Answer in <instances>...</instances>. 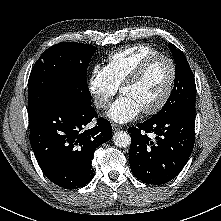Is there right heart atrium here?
Here are the masks:
<instances>
[{"instance_id":"1","label":"right heart atrium","mask_w":221,"mask_h":221,"mask_svg":"<svg viewBox=\"0 0 221 221\" xmlns=\"http://www.w3.org/2000/svg\"><path fill=\"white\" fill-rule=\"evenodd\" d=\"M88 88L98 109L107 107L110 99L118 90L107 67L100 64L92 67L88 77Z\"/></svg>"}]
</instances>
